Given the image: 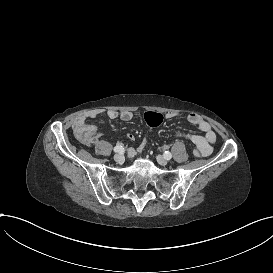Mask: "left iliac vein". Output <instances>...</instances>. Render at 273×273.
Instances as JSON below:
<instances>
[{"instance_id":"left-iliac-vein-1","label":"left iliac vein","mask_w":273,"mask_h":273,"mask_svg":"<svg viewBox=\"0 0 273 273\" xmlns=\"http://www.w3.org/2000/svg\"><path fill=\"white\" fill-rule=\"evenodd\" d=\"M157 160H158V162H159L160 165H162V166L167 165L168 161H167V159L164 156L158 155L157 156Z\"/></svg>"}]
</instances>
